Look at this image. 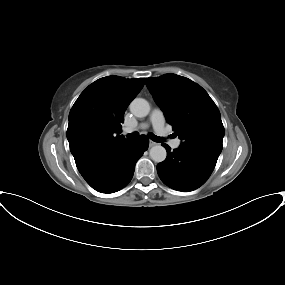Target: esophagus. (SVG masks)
Masks as SVG:
<instances>
[{
    "label": "esophagus",
    "mask_w": 285,
    "mask_h": 285,
    "mask_svg": "<svg viewBox=\"0 0 285 285\" xmlns=\"http://www.w3.org/2000/svg\"><path fill=\"white\" fill-rule=\"evenodd\" d=\"M155 145H157L156 142H153V141H150V142H149V146H150V147H153V146H155Z\"/></svg>",
    "instance_id": "obj_1"
}]
</instances>
